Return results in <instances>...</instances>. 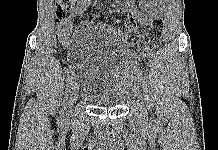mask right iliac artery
<instances>
[{
  "instance_id": "82829eb1",
  "label": "right iliac artery",
  "mask_w": 218,
  "mask_h": 150,
  "mask_svg": "<svg viewBox=\"0 0 218 150\" xmlns=\"http://www.w3.org/2000/svg\"><path fill=\"white\" fill-rule=\"evenodd\" d=\"M74 74H73V70H72V67H70L69 69H68V71H67V90L69 91V88L71 87V84H72V82H73V79H74ZM66 93H67V91H66ZM65 98H66V96H65ZM65 110H66V107H65V105H64V103H63V107H62V109H61V111H60V114H61V116H64V114H65Z\"/></svg>"
}]
</instances>
